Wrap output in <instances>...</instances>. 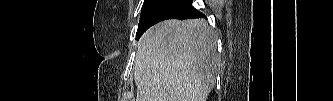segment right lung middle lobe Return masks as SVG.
I'll return each instance as SVG.
<instances>
[{
  "instance_id": "obj_1",
  "label": "right lung middle lobe",
  "mask_w": 333,
  "mask_h": 101,
  "mask_svg": "<svg viewBox=\"0 0 333 101\" xmlns=\"http://www.w3.org/2000/svg\"><path fill=\"white\" fill-rule=\"evenodd\" d=\"M149 2H150V0H145V1H144V4L149 3Z\"/></svg>"
}]
</instances>
